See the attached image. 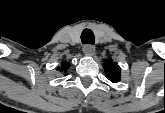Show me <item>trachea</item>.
Instances as JSON below:
<instances>
[{
	"label": "trachea",
	"mask_w": 165,
	"mask_h": 113,
	"mask_svg": "<svg viewBox=\"0 0 165 113\" xmlns=\"http://www.w3.org/2000/svg\"><path fill=\"white\" fill-rule=\"evenodd\" d=\"M81 41L83 44L93 45L95 42L94 33L90 29H84L81 34Z\"/></svg>",
	"instance_id": "1"
}]
</instances>
